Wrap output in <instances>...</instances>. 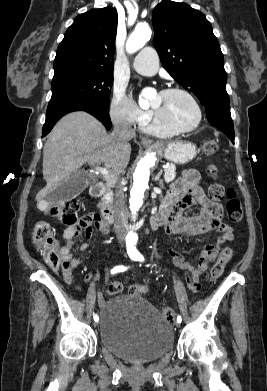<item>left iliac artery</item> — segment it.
<instances>
[{
    "label": "left iliac artery",
    "mask_w": 267,
    "mask_h": 391,
    "mask_svg": "<svg viewBox=\"0 0 267 391\" xmlns=\"http://www.w3.org/2000/svg\"><path fill=\"white\" fill-rule=\"evenodd\" d=\"M136 259L139 260V261H143V260H144L143 256L140 255V254L136 257ZM181 320H182V319H181V316L179 315V316L177 317V322L180 323Z\"/></svg>",
    "instance_id": "obj_1"
}]
</instances>
